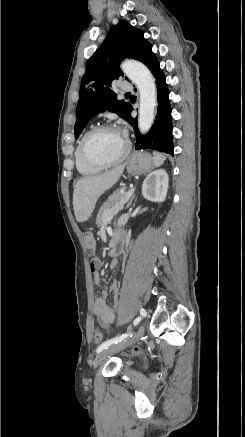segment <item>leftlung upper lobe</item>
<instances>
[{
    "label": "left lung upper lobe",
    "mask_w": 245,
    "mask_h": 437,
    "mask_svg": "<svg viewBox=\"0 0 245 437\" xmlns=\"http://www.w3.org/2000/svg\"><path fill=\"white\" fill-rule=\"evenodd\" d=\"M150 49L152 46L144 38L143 31L127 21L119 22L110 29L106 40L87 62L76 109L75 139L93 116L106 110L126 120L131 104L117 100L116 93L111 89L112 82L123 76L119 68L123 59L140 61Z\"/></svg>",
    "instance_id": "left-lung-upper-lobe-1"
}]
</instances>
